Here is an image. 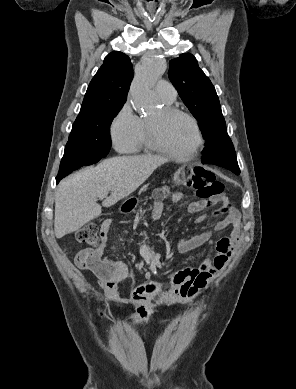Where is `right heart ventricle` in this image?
<instances>
[{"label": "right heart ventricle", "mask_w": 296, "mask_h": 389, "mask_svg": "<svg viewBox=\"0 0 296 389\" xmlns=\"http://www.w3.org/2000/svg\"><path fill=\"white\" fill-rule=\"evenodd\" d=\"M165 103L170 104L168 102H165ZM150 149L151 148L149 147L148 141H147L146 124L143 122V130H142L141 138H140V141H139V144H138L136 151H148Z\"/></svg>", "instance_id": "1"}]
</instances>
